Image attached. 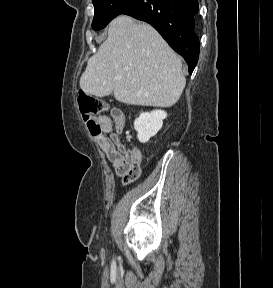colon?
Wrapping results in <instances>:
<instances>
[{"label": "colon", "instance_id": "obj_1", "mask_svg": "<svg viewBox=\"0 0 273 288\" xmlns=\"http://www.w3.org/2000/svg\"><path fill=\"white\" fill-rule=\"evenodd\" d=\"M78 105L83 120L91 134L94 136L101 135V125L98 117L107 108L105 102L99 98L80 93L78 96Z\"/></svg>", "mask_w": 273, "mask_h": 288}]
</instances>
